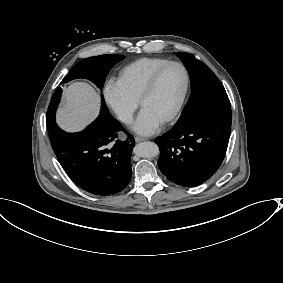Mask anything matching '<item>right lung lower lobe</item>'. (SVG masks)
<instances>
[{
  "instance_id": "98d812e1",
  "label": "right lung lower lobe",
  "mask_w": 283,
  "mask_h": 283,
  "mask_svg": "<svg viewBox=\"0 0 283 283\" xmlns=\"http://www.w3.org/2000/svg\"><path fill=\"white\" fill-rule=\"evenodd\" d=\"M55 111L48 107L47 128L59 139L54 152L66 174L95 195L108 196L123 190L132 176L133 137L116 139L119 131H126L108 109H101L99 117L78 133L62 131L55 122Z\"/></svg>"
}]
</instances>
